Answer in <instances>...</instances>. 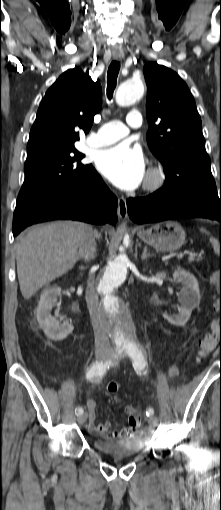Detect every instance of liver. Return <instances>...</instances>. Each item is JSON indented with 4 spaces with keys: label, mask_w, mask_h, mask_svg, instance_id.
Here are the masks:
<instances>
[{
    "label": "liver",
    "mask_w": 221,
    "mask_h": 510,
    "mask_svg": "<svg viewBox=\"0 0 221 510\" xmlns=\"http://www.w3.org/2000/svg\"><path fill=\"white\" fill-rule=\"evenodd\" d=\"M91 229L82 222L57 221L20 234L15 253L18 281L25 299L74 267L77 251Z\"/></svg>",
    "instance_id": "1"
}]
</instances>
